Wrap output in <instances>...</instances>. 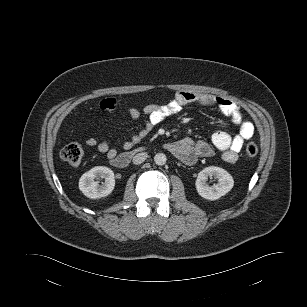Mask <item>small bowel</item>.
Returning a JSON list of instances; mask_svg holds the SVG:
<instances>
[{"label":"small bowel","instance_id":"small-bowel-1","mask_svg":"<svg viewBox=\"0 0 307 307\" xmlns=\"http://www.w3.org/2000/svg\"><path fill=\"white\" fill-rule=\"evenodd\" d=\"M187 106L217 108L222 114L231 118V121L239 127V131L232 136L226 131L218 130L213 133L210 142L182 138L167 143L166 149L187 165L194 164L199 158L212 156L215 150L222 153V159L225 162L235 163L244 142L254 134L253 124L244 120L243 114L235 102L210 94L190 91L177 92L174 98L166 104H148L142 110L128 107L126 113L131 119L137 120L144 116L146 121L136 134L123 142V148L125 150L131 149L167 117L179 113ZM100 108L105 112H114L117 109V102L113 98L105 99L100 102ZM84 142L88 147H95L100 153L105 154L111 162L118 156L117 150L111 147L106 140H99L96 136L89 135L84 138Z\"/></svg>","mask_w":307,"mask_h":307}]
</instances>
